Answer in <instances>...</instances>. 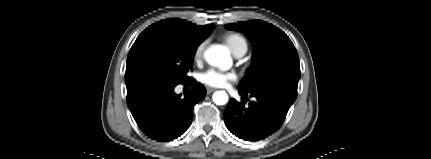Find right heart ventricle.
I'll use <instances>...</instances> for the list:
<instances>
[{
    "label": "right heart ventricle",
    "instance_id": "e07e8e85",
    "mask_svg": "<svg viewBox=\"0 0 431 159\" xmlns=\"http://www.w3.org/2000/svg\"><path fill=\"white\" fill-rule=\"evenodd\" d=\"M224 41L229 46L233 54H237L239 52H246L247 50V42L246 39L237 33H229L224 36Z\"/></svg>",
    "mask_w": 431,
    "mask_h": 159
}]
</instances>
